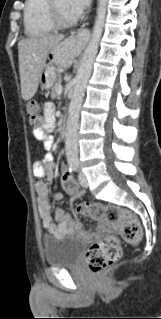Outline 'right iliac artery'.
Segmentation results:
<instances>
[{
	"instance_id": "82829eb1",
	"label": "right iliac artery",
	"mask_w": 161,
	"mask_h": 319,
	"mask_svg": "<svg viewBox=\"0 0 161 319\" xmlns=\"http://www.w3.org/2000/svg\"><path fill=\"white\" fill-rule=\"evenodd\" d=\"M69 170H70V171H76L75 165L71 166V168H70Z\"/></svg>"
}]
</instances>
